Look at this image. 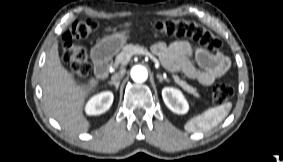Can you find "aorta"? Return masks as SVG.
Listing matches in <instances>:
<instances>
[{"instance_id": "1", "label": "aorta", "mask_w": 283, "mask_h": 162, "mask_svg": "<svg viewBox=\"0 0 283 162\" xmlns=\"http://www.w3.org/2000/svg\"><path fill=\"white\" fill-rule=\"evenodd\" d=\"M131 78L135 82H144L148 78V72L145 67L136 65L131 69Z\"/></svg>"}]
</instances>
